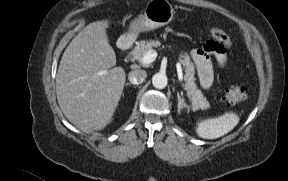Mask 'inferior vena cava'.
<instances>
[{"label":"inferior vena cava","instance_id":"inferior-vena-cava-1","mask_svg":"<svg viewBox=\"0 0 288 181\" xmlns=\"http://www.w3.org/2000/svg\"><path fill=\"white\" fill-rule=\"evenodd\" d=\"M146 77H147L146 71L141 69L132 70L129 72L128 75L129 81L135 85L141 84Z\"/></svg>","mask_w":288,"mask_h":181}]
</instances>
